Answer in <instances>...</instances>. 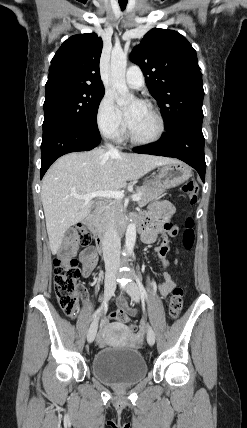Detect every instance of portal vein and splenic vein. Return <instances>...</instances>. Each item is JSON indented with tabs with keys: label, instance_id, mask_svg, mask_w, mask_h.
I'll use <instances>...</instances> for the list:
<instances>
[{
	"label": "portal vein and splenic vein",
	"instance_id": "portal-vein-and-splenic-vein-1",
	"mask_svg": "<svg viewBox=\"0 0 247 428\" xmlns=\"http://www.w3.org/2000/svg\"><path fill=\"white\" fill-rule=\"evenodd\" d=\"M77 199H82L85 202H90L95 197H109L116 200H121L124 197V193L122 191L117 190H104V191H96L92 193H88L85 195H74ZM141 197L137 194L132 195L133 201H139Z\"/></svg>",
	"mask_w": 247,
	"mask_h": 428
}]
</instances>
